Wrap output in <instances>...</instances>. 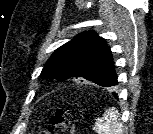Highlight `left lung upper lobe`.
Returning a JSON list of instances; mask_svg holds the SVG:
<instances>
[{
	"label": "left lung upper lobe",
	"mask_w": 153,
	"mask_h": 134,
	"mask_svg": "<svg viewBox=\"0 0 153 134\" xmlns=\"http://www.w3.org/2000/svg\"><path fill=\"white\" fill-rule=\"evenodd\" d=\"M41 76L58 81L86 79L111 88L118 84L110 48L92 31L78 34L59 47L45 64Z\"/></svg>",
	"instance_id": "left-lung-upper-lobe-1"
}]
</instances>
